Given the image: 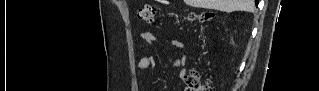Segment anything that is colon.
I'll return each instance as SVG.
<instances>
[{
    "label": "colon",
    "mask_w": 319,
    "mask_h": 91,
    "mask_svg": "<svg viewBox=\"0 0 319 91\" xmlns=\"http://www.w3.org/2000/svg\"><path fill=\"white\" fill-rule=\"evenodd\" d=\"M157 15V6L154 3H147L138 10L137 16L140 21L147 24H154ZM212 17L211 14L206 13L203 15H190L191 21L207 22ZM186 89L188 91H209L211 86L208 81H204L201 76L194 72L186 78Z\"/></svg>",
    "instance_id": "1"
}]
</instances>
